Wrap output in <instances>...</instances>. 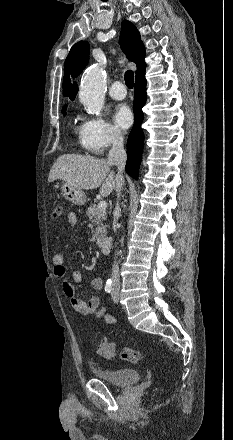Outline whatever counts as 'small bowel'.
<instances>
[{"label": "small bowel", "mask_w": 233, "mask_h": 440, "mask_svg": "<svg viewBox=\"0 0 233 440\" xmlns=\"http://www.w3.org/2000/svg\"><path fill=\"white\" fill-rule=\"evenodd\" d=\"M67 220L71 227H75L77 224V215L74 212L67 214ZM54 266L55 277L61 281V286L64 295L69 301L72 309L81 316H90L94 320H103L107 324H113L116 322V318L106 314V308L100 304V300L97 296H90L87 299H82L74 292L73 283H80L82 281V274L78 270H71L70 277L68 279V268L64 263V256L62 253H56L52 259ZM90 286L100 291L103 287V281L99 276H91L89 279Z\"/></svg>", "instance_id": "c3829d8e"}]
</instances>
